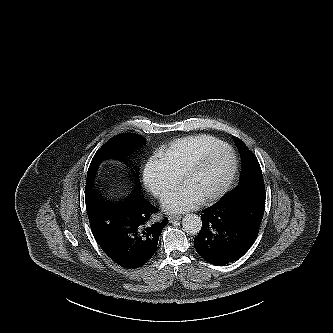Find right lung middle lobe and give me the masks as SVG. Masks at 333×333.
Returning <instances> with one entry per match:
<instances>
[{
	"label": "right lung middle lobe",
	"instance_id": "right-lung-middle-lobe-1",
	"mask_svg": "<svg viewBox=\"0 0 333 333\" xmlns=\"http://www.w3.org/2000/svg\"><path fill=\"white\" fill-rule=\"evenodd\" d=\"M145 139L138 134H120L107 141L94 155L86 180V191L92 192L95 176L99 164L106 159H117L123 161L132 151L141 146ZM135 189L133 193H139V180L135 177Z\"/></svg>",
	"mask_w": 333,
	"mask_h": 333
}]
</instances>
